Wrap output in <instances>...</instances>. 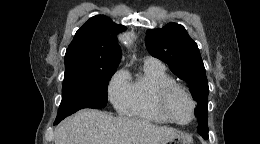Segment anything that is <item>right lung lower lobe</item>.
Instances as JSON below:
<instances>
[{
    "label": "right lung lower lobe",
    "mask_w": 260,
    "mask_h": 144,
    "mask_svg": "<svg viewBox=\"0 0 260 144\" xmlns=\"http://www.w3.org/2000/svg\"><path fill=\"white\" fill-rule=\"evenodd\" d=\"M58 123H59V122H56V121L54 122V124H58Z\"/></svg>",
    "instance_id": "obj_1"
}]
</instances>
